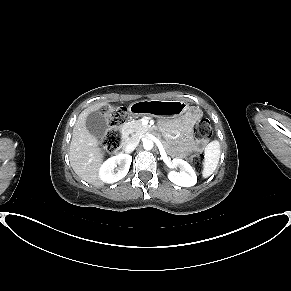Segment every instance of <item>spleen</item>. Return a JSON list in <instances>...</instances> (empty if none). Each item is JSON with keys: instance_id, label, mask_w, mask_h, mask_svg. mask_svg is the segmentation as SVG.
I'll return each mask as SVG.
<instances>
[{"instance_id": "spleen-1", "label": "spleen", "mask_w": 291, "mask_h": 291, "mask_svg": "<svg viewBox=\"0 0 291 291\" xmlns=\"http://www.w3.org/2000/svg\"><path fill=\"white\" fill-rule=\"evenodd\" d=\"M220 158V144L217 140L210 142L205 148L203 177H209L216 169Z\"/></svg>"}]
</instances>
